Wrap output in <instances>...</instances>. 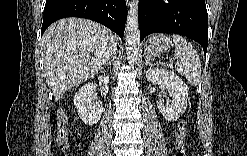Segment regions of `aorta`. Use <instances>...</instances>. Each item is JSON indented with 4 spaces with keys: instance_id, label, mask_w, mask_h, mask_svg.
<instances>
[{
    "instance_id": "1",
    "label": "aorta",
    "mask_w": 247,
    "mask_h": 156,
    "mask_svg": "<svg viewBox=\"0 0 247 156\" xmlns=\"http://www.w3.org/2000/svg\"><path fill=\"white\" fill-rule=\"evenodd\" d=\"M138 0L129 4L125 28L126 53L130 63H135L139 53L140 31L138 23Z\"/></svg>"
}]
</instances>
